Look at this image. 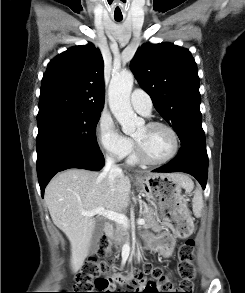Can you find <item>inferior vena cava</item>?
Masks as SVG:
<instances>
[{"label":"inferior vena cava","instance_id":"1","mask_svg":"<svg viewBox=\"0 0 245 293\" xmlns=\"http://www.w3.org/2000/svg\"><path fill=\"white\" fill-rule=\"evenodd\" d=\"M121 173H122V170L118 167L115 161L111 157H107L102 174L107 176L108 182L112 187L114 186L116 182V178Z\"/></svg>","mask_w":245,"mask_h":293}]
</instances>
